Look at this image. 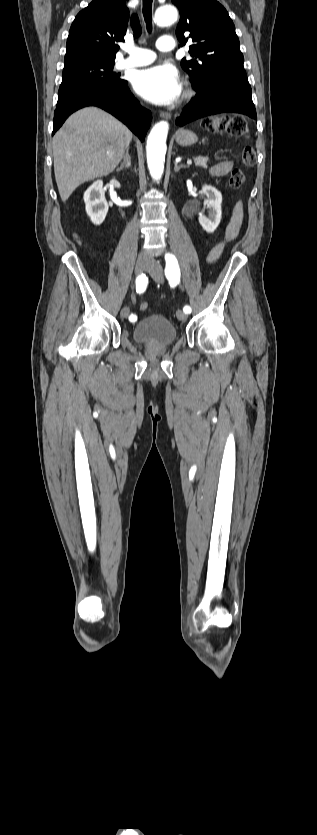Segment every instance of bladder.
<instances>
[{
	"label": "bladder",
	"instance_id": "bladder-1",
	"mask_svg": "<svg viewBox=\"0 0 317 835\" xmlns=\"http://www.w3.org/2000/svg\"><path fill=\"white\" fill-rule=\"evenodd\" d=\"M133 339L145 345L163 346L177 339L174 324L162 315L146 316L136 323L132 331Z\"/></svg>",
	"mask_w": 317,
	"mask_h": 835
}]
</instances>
